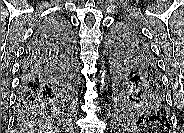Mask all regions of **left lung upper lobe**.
Here are the masks:
<instances>
[{
  "instance_id": "left-lung-upper-lobe-1",
  "label": "left lung upper lobe",
  "mask_w": 184,
  "mask_h": 133,
  "mask_svg": "<svg viewBox=\"0 0 184 133\" xmlns=\"http://www.w3.org/2000/svg\"><path fill=\"white\" fill-rule=\"evenodd\" d=\"M108 56L115 112L137 124L148 123V118L158 109L147 92H152V86L161 79L151 49L133 26L124 24L112 32Z\"/></svg>"
}]
</instances>
